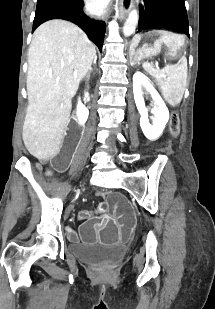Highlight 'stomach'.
<instances>
[{"mask_svg": "<svg viewBox=\"0 0 215 309\" xmlns=\"http://www.w3.org/2000/svg\"><path fill=\"white\" fill-rule=\"evenodd\" d=\"M185 41L184 35L164 29L138 33L134 35L130 43V61L138 63L157 56L161 52L171 58L182 57L185 51Z\"/></svg>", "mask_w": 215, "mask_h": 309, "instance_id": "obj_1", "label": "stomach"}]
</instances>
